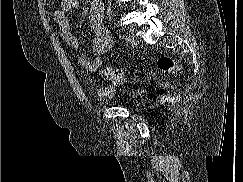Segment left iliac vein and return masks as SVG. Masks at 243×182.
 <instances>
[{
  "mask_svg": "<svg viewBox=\"0 0 243 182\" xmlns=\"http://www.w3.org/2000/svg\"><path fill=\"white\" fill-rule=\"evenodd\" d=\"M127 41L129 43H137L138 40H137V37L134 34H129L127 36Z\"/></svg>",
  "mask_w": 243,
  "mask_h": 182,
  "instance_id": "4c4485c4",
  "label": "left iliac vein"
}]
</instances>
